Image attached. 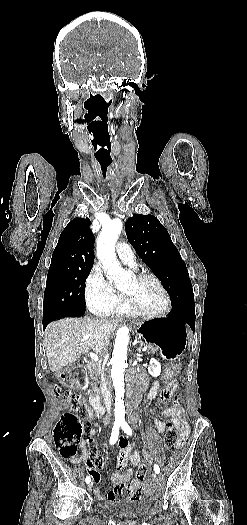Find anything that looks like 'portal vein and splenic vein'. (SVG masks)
<instances>
[{
    "label": "portal vein and splenic vein",
    "mask_w": 247,
    "mask_h": 525,
    "mask_svg": "<svg viewBox=\"0 0 247 525\" xmlns=\"http://www.w3.org/2000/svg\"><path fill=\"white\" fill-rule=\"evenodd\" d=\"M142 350H149V347H142ZM88 356L91 360H95V362L101 361V358L99 357V355L97 353H94L93 351H90L88 353Z\"/></svg>",
    "instance_id": "1"
}]
</instances>
